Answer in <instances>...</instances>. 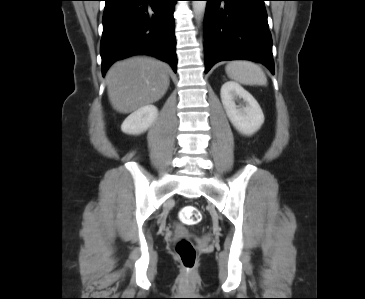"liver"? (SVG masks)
Masks as SVG:
<instances>
[{
    "label": "liver",
    "instance_id": "liver-1",
    "mask_svg": "<svg viewBox=\"0 0 365 299\" xmlns=\"http://www.w3.org/2000/svg\"><path fill=\"white\" fill-rule=\"evenodd\" d=\"M108 96L120 113H131L161 99L169 86V67L149 57L116 63L107 74Z\"/></svg>",
    "mask_w": 365,
    "mask_h": 299
}]
</instances>
